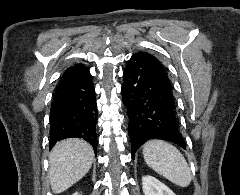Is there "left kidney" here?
Here are the masks:
<instances>
[{
	"label": "left kidney",
	"instance_id": "obj_1",
	"mask_svg": "<svg viewBox=\"0 0 240 195\" xmlns=\"http://www.w3.org/2000/svg\"><path fill=\"white\" fill-rule=\"evenodd\" d=\"M142 189L145 195H176L165 183L153 177V175H143Z\"/></svg>",
	"mask_w": 240,
	"mask_h": 195
}]
</instances>
